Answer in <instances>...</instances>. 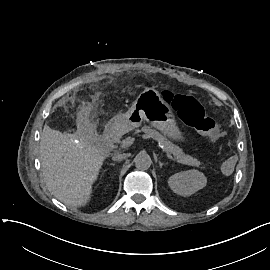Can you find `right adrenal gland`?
<instances>
[{"instance_id":"right-adrenal-gland-1","label":"right adrenal gland","mask_w":270,"mask_h":270,"mask_svg":"<svg viewBox=\"0 0 270 270\" xmlns=\"http://www.w3.org/2000/svg\"><path fill=\"white\" fill-rule=\"evenodd\" d=\"M110 165L114 166L115 164L114 163H111Z\"/></svg>"}]
</instances>
